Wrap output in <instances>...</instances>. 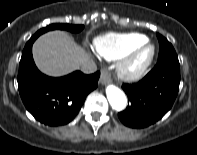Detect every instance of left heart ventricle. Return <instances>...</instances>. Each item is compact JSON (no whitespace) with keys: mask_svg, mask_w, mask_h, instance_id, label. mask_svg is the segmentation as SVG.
I'll return each mask as SVG.
<instances>
[{"mask_svg":"<svg viewBox=\"0 0 197 155\" xmlns=\"http://www.w3.org/2000/svg\"><path fill=\"white\" fill-rule=\"evenodd\" d=\"M145 56H146V52L142 53L137 61L139 62V61L143 60L145 58Z\"/></svg>","mask_w":197,"mask_h":155,"instance_id":"1","label":"left heart ventricle"}]
</instances>
